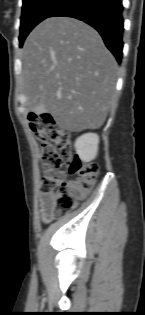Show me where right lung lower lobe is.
I'll return each instance as SVG.
<instances>
[{"mask_svg":"<svg viewBox=\"0 0 145 315\" xmlns=\"http://www.w3.org/2000/svg\"><path fill=\"white\" fill-rule=\"evenodd\" d=\"M122 12V0H65L49 17H72L94 27L120 63L124 31Z\"/></svg>","mask_w":145,"mask_h":315,"instance_id":"98d812e1","label":"right lung lower lobe"}]
</instances>
